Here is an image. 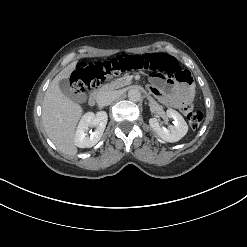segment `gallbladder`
I'll return each mask as SVG.
<instances>
[{
    "label": "gallbladder",
    "mask_w": 247,
    "mask_h": 247,
    "mask_svg": "<svg viewBox=\"0 0 247 247\" xmlns=\"http://www.w3.org/2000/svg\"><path fill=\"white\" fill-rule=\"evenodd\" d=\"M59 88L66 97L74 102L83 103L87 100V96L85 93H76L75 90L72 89L68 79L60 80Z\"/></svg>",
    "instance_id": "bac80fb5"
}]
</instances>
